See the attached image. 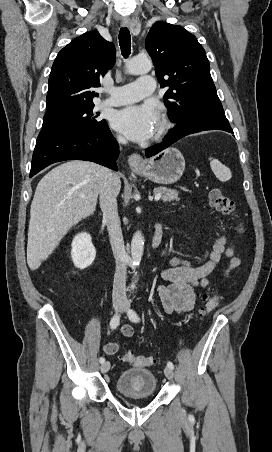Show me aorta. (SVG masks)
Masks as SVG:
<instances>
[{
	"label": "aorta",
	"instance_id": "obj_1",
	"mask_svg": "<svg viewBox=\"0 0 272 452\" xmlns=\"http://www.w3.org/2000/svg\"><path fill=\"white\" fill-rule=\"evenodd\" d=\"M152 61L149 58L135 57L127 65V71L131 74H144L152 69ZM144 250V237L140 231H136L131 241V257L135 267L139 266ZM133 282L131 288L134 289Z\"/></svg>",
	"mask_w": 272,
	"mask_h": 452
}]
</instances>
